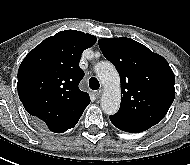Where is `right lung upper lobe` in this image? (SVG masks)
<instances>
[{"label":"right lung upper lobe","instance_id":"obj_1","mask_svg":"<svg viewBox=\"0 0 190 165\" xmlns=\"http://www.w3.org/2000/svg\"><path fill=\"white\" fill-rule=\"evenodd\" d=\"M96 37L76 30L61 31L31 50L18 70V95L27 112L50 131L73 128L90 103L79 89L84 77L79 61Z\"/></svg>","mask_w":190,"mask_h":165}]
</instances>
